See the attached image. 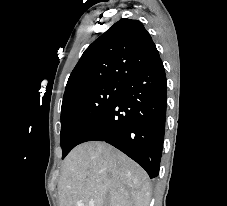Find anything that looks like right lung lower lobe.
<instances>
[{
	"mask_svg": "<svg viewBox=\"0 0 227 206\" xmlns=\"http://www.w3.org/2000/svg\"><path fill=\"white\" fill-rule=\"evenodd\" d=\"M167 82L161 59L129 76L120 96L85 133L80 143L105 141L140 166L159 173L166 116Z\"/></svg>",
	"mask_w": 227,
	"mask_h": 206,
	"instance_id": "98d812e1",
	"label": "right lung lower lobe"
}]
</instances>
